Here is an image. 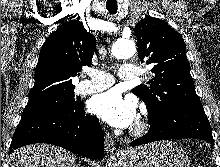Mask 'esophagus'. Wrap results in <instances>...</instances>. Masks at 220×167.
Segmentation results:
<instances>
[{"instance_id": "esophagus-1", "label": "esophagus", "mask_w": 220, "mask_h": 167, "mask_svg": "<svg viewBox=\"0 0 220 167\" xmlns=\"http://www.w3.org/2000/svg\"><path fill=\"white\" fill-rule=\"evenodd\" d=\"M104 149L107 154L114 155L115 143L112 136L108 132L105 134Z\"/></svg>"}]
</instances>
